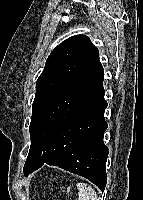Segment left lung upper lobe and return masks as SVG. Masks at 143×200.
<instances>
[{"label":"left lung upper lobe","instance_id":"obj_1","mask_svg":"<svg viewBox=\"0 0 143 200\" xmlns=\"http://www.w3.org/2000/svg\"><path fill=\"white\" fill-rule=\"evenodd\" d=\"M98 55L97 48L85 35L72 36L60 43L49 55L45 68L36 82L32 105L31 129L44 106L68 86L80 71ZM30 151L25 163H28ZM24 166V167H25Z\"/></svg>","mask_w":143,"mask_h":200}]
</instances>
